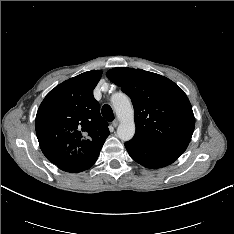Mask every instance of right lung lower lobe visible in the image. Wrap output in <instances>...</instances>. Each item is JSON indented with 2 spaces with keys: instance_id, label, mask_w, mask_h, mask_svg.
Listing matches in <instances>:
<instances>
[{
  "instance_id": "98d812e1",
  "label": "right lung lower lobe",
  "mask_w": 234,
  "mask_h": 234,
  "mask_svg": "<svg viewBox=\"0 0 234 234\" xmlns=\"http://www.w3.org/2000/svg\"><path fill=\"white\" fill-rule=\"evenodd\" d=\"M102 146H100L95 151L88 154L85 158L81 159L80 161L72 164L62 165L59 166L58 168H60L63 171L72 172V173L84 171L90 168L95 163V161L99 156Z\"/></svg>"
}]
</instances>
